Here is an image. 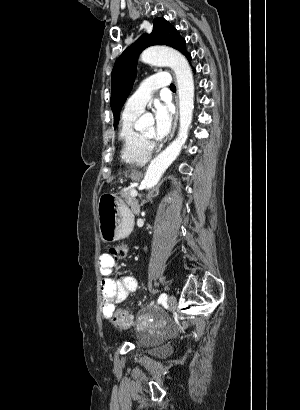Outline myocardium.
Listing matches in <instances>:
<instances>
[{
  "label": "myocardium",
  "mask_w": 300,
  "mask_h": 410,
  "mask_svg": "<svg viewBox=\"0 0 300 410\" xmlns=\"http://www.w3.org/2000/svg\"><path fill=\"white\" fill-rule=\"evenodd\" d=\"M142 137H143L146 141H150V140H151V137H148V136H145V135H142Z\"/></svg>",
  "instance_id": "1"
}]
</instances>
